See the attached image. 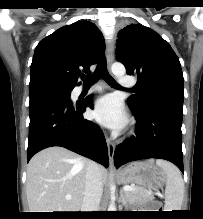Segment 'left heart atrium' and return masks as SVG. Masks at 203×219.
Masks as SVG:
<instances>
[{"label": "left heart atrium", "instance_id": "obj_1", "mask_svg": "<svg viewBox=\"0 0 203 219\" xmlns=\"http://www.w3.org/2000/svg\"><path fill=\"white\" fill-rule=\"evenodd\" d=\"M93 116L103 125L121 129L127 123L120 100L114 95H107L100 98L94 106Z\"/></svg>", "mask_w": 203, "mask_h": 219}]
</instances>
